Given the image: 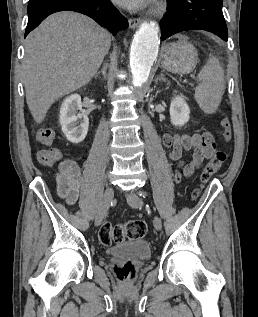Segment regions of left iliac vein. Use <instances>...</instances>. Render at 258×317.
Returning <instances> with one entry per match:
<instances>
[{"instance_id": "4c4485c4", "label": "left iliac vein", "mask_w": 258, "mask_h": 317, "mask_svg": "<svg viewBox=\"0 0 258 317\" xmlns=\"http://www.w3.org/2000/svg\"><path fill=\"white\" fill-rule=\"evenodd\" d=\"M129 197L127 198L129 206L133 207V208H141L142 206V198L137 195L136 193H131L128 195ZM154 227L156 228V231H161V227H162V221L160 217H155L154 221H153Z\"/></svg>"}]
</instances>
